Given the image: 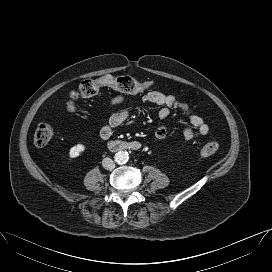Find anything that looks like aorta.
<instances>
[{
    "mask_svg": "<svg viewBox=\"0 0 272 272\" xmlns=\"http://www.w3.org/2000/svg\"><path fill=\"white\" fill-rule=\"evenodd\" d=\"M129 159V154L126 151H119L115 154V161L119 164L126 163Z\"/></svg>",
    "mask_w": 272,
    "mask_h": 272,
    "instance_id": "762f6f07",
    "label": "aorta"
}]
</instances>
